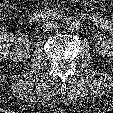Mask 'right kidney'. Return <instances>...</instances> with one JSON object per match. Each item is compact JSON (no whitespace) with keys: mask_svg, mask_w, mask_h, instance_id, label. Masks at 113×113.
Returning <instances> with one entry per match:
<instances>
[{"mask_svg":"<svg viewBox=\"0 0 113 113\" xmlns=\"http://www.w3.org/2000/svg\"><path fill=\"white\" fill-rule=\"evenodd\" d=\"M30 45L31 41L27 35L19 37L10 52V58L15 62L25 60L30 53Z\"/></svg>","mask_w":113,"mask_h":113,"instance_id":"1","label":"right kidney"}]
</instances>
